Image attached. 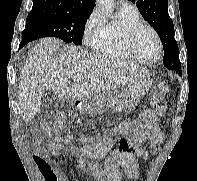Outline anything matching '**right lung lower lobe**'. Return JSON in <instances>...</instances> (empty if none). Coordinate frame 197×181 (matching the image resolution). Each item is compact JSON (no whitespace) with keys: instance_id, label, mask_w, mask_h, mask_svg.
Returning a JSON list of instances; mask_svg holds the SVG:
<instances>
[{"instance_id":"right-lung-lower-lobe-1","label":"right lung lower lobe","mask_w":197,"mask_h":181,"mask_svg":"<svg viewBox=\"0 0 197 181\" xmlns=\"http://www.w3.org/2000/svg\"><path fill=\"white\" fill-rule=\"evenodd\" d=\"M29 41L28 40H25V39H22L20 45H19V48L23 47L24 45H26Z\"/></svg>"}]
</instances>
